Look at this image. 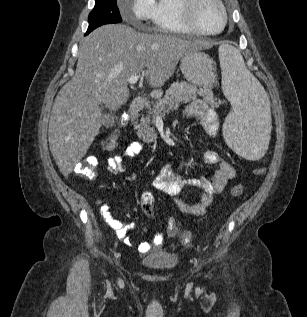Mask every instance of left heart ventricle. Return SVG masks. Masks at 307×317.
<instances>
[{"mask_svg":"<svg viewBox=\"0 0 307 317\" xmlns=\"http://www.w3.org/2000/svg\"><path fill=\"white\" fill-rule=\"evenodd\" d=\"M196 19L199 26L206 31H215L222 24V14L219 6L212 0H203L196 9Z\"/></svg>","mask_w":307,"mask_h":317,"instance_id":"b2bd125f","label":"left heart ventricle"}]
</instances>
